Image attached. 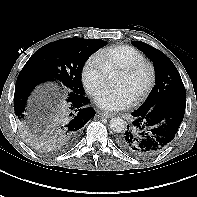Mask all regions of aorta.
<instances>
[{
	"mask_svg": "<svg viewBox=\"0 0 197 197\" xmlns=\"http://www.w3.org/2000/svg\"><path fill=\"white\" fill-rule=\"evenodd\" d=\"M110 129L115 133H120L125 129V121L120 117H115L110 120Z\"/></svg>",
	"mask_w": 197,
	"mask_h": 197,
	"instance_id": "762f6f07",
	"label": "aorta"
}]
</instances>
